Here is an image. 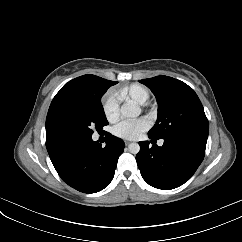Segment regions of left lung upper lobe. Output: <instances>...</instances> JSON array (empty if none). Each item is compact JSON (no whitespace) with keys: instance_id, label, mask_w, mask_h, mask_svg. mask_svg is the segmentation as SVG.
<instances>
[{"instance_id":"left-lung-upper-lobe-1","label":"left lung upper lobe","mask_w":242,"mask_h":242,"mask_svg":"<svg viewBox=\"0 0 242 242\" xmlns=\"http://www.w3.org/2000/svg\"><path fill=\"white\" fill-rule=\"evenodd\" d=\"M151 89L158 103V118L148 135L167 139L182 135L208 136L209 124L203 106L184 82L168 76L139 80Z\"/></svg>"}]
</instances>
